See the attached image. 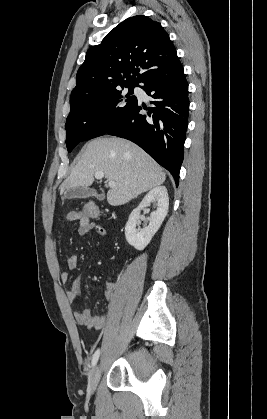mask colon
<instances>
[{
    "mask_svg": "<svg viewBox=\"0 0 267 419\" xmlns=\"http://www.w3.org/2000/svg\"><path fill=\"white\" fill-rule=\"evenodd\" d=\"M79 212L86 219H97L102 215L101 209L94 203L86 204Z\"/></svg>",
    "mask_w": 267,
    "mask_h": 419,
    "instance_id": "obj_1",
    "label": "colon"
}]
</instances>
